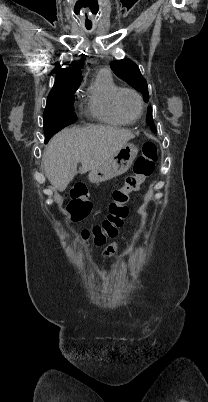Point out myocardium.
I'll return each mask as SVG.
<instances>
[{
  "mask_svg": "<svg viewBox=\"0 0 208 402\" xmlns=\"http://www.w3.org/2000/svg\"><path fill=\"white\" fill-rule=\"evenodd\" d=\"M123 93H131V94H133V95L137 98V100H138V102H139V106H140V111H139V114H138L137 117L132 118V117L126 115V114L121 110L120 105H119V97H120V95L123 94ZM112 103H113V108H114L115 113H116L122 120L127 121V122H130V123L137 122V121L142 117V115H143V113H144V100H143L142 96H141L140 93H138L136 90L131 89V88H126V87H124V88H119V89L117 90V92L115 93L114 97H113V102H112Z\"/></svg>",
  "mask_w": 208,
  "mask_h": 402,
  "instance_id": "myocardium-1",
  "label": "myocardium"
}]
</instances>
